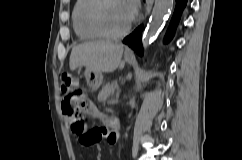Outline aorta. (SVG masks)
<instances>
[{
    "label": "aorta",
    "instance_id": "aorta-1",
    "mask_svg": "<svg viewBox=\"0 0 242 160\" xmlns=\"http://www.w3.org/2000/svg\"><path fill=\"white\" fill-rule=\"evenodd\" d=\"M173 7V0H155V4L143 34L142 42L144 48L157 35L167 14Z\"/></svg>",
    "mask_w": 242,
    "mask_h": 160
}]
</instances>
